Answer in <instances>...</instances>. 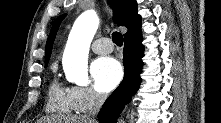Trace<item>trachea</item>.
Here are the masks:
<instances>
[{
  "label": "trachea",
  "mask_w": 221,
  "mask_h": 123,
  "mask_svg": "<svg viewBox=\"0 0 221 123\" xmlns=\"http://www.w3.org/2000/svg\"><path fill=\"white\" fill-rule=\"evenodd\" d=\"M112 40L113 42L118 45V46H122L123 45V36L120 32H113L112 33Z\"/></svg>",
  "instance_id": "1"
}]
</instances>
